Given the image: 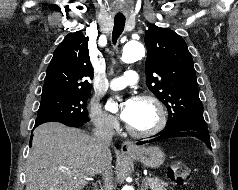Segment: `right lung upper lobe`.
I'll use <instances>...</instances> for the list:
<instances>
[{"mask_svg":"<svg viewBox=\"0 0 238 190\" xmlns=\"http://www.w3.org/2000/svg\"><path fill=\"white\" fill-rule=\"evenodd\" d=\"M88 40L81 31L66 35L55 49L47 68L42 97L90 93L93 73Z\"/></svg>","mask_w":238,"mask_h":190,"instance_id":"cb5924a9","label":"right lung upper lobe"}]
</instances>
